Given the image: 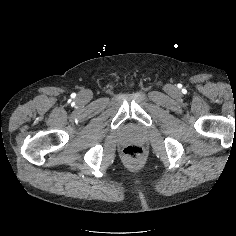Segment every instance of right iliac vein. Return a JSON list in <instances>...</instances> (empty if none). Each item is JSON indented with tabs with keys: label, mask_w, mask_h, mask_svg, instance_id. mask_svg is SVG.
<instances>
[{
	"label": "right iliac vein",
	"mask_w": 236,
	"mask_h": 236,
	"mask_svg": "<svg viewBox=\"0 0 236 236\" xmlns=\"http://www.w3.org/2000/svg\"><path fill=\"white\" fill-rule=\"evenodd\" d=\"M77 100L80 103H87L90 100V94L88 92H81L78 94Z\"/></svg>",
	"instance_id": "obj_1"
}]
</instances>
